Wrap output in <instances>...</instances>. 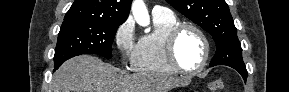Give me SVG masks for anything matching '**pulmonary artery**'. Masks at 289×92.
Listing matches in <instances>:
<instances>
[{
  "instance_id": "obj_1",
  "label": "pulmonary artery",
  "mask_w": 289,
  "mask_h": 92,
  "mask_svg": "<svg viewBox=\"0 0 289 92\" xmlns=\"http://www.w3.org/2000/svg\"><path fill=\"white\" fill-rule=\"evenodd\" d=\"M170 12L171 11L168 8L159 6V5L154 6L152 10L153 14H164V13H170Z\"/></svg>"
}]
</instances>
